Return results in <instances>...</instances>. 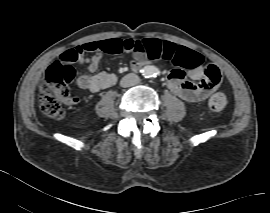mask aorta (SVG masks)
<instances>
[{
    "instance_id": "obj_1",
    "label": "aorta",
    "mask_w": 270,
    "mask_h": 213,
    "mask_svg": "<svg viewBox=\"0 0 270 213\" xmlns=\"http://www.w3.org/2000/svg\"><path fill=\"white\" fill-rule=\"evenodd\" d=\"M156 72H157V68L155 66H146L143 69V75L148 78L154 77Z\"/></svg>"
}]
</instances>
